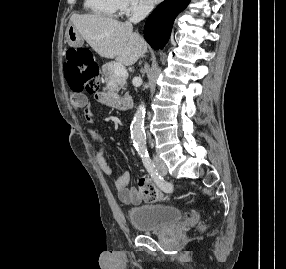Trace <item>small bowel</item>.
<instances>
[{
  "instance_id": "obj_1",
  "label": "small bowel",
  "mask_w": 286,
  "mask_h": 269,
  "mask_svg": "<svg viewBox=\"0 0 286 269\" xmlns=\"http://www.w3.org/2000/svg\"><path fill=\"white\" fill-rule=\"evenodd\" d=\"M100 93H109V88H100ZM120 94H94V99H120ZM71 105L73 109L83 110L84 118L87 124H92L95 120V114L93 109L88 105L87 99L83 92L74 91L71 97ZM101 106H105L106 102L101 101ZM87 133L90 138L98 144L96 151V162L100 170L107 176H115V189L120 200L126 203H138L142 197L136 188L128 187L130 181V174L127 171L116 173L113 167L108 163L106 159L107 145L105 138L92 128L87 129ZM165 192L170 191V186L162 188Z\"/></svg>"
}]
</instances>
